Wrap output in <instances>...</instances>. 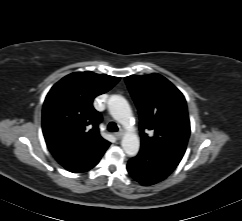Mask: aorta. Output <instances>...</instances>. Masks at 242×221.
I'll use <instances>...</instances> for the list:
<instances>
[{
    "label": "aorta",
    "instance_id": "obj_1",
    "mask_svg": "<svg viewBox=\"0 0 242 221\" xmlns=\"http://www.w3.org/2000/svg\"><path fill=\"white\" fill-rule=\"evenodd\" d=\"M108 108L112 117L127 130L121 141L123 150L130 157L136 156L140 141L131 127L132 111L128 101L120 95H112L108 100Z\"/></svg>",
    "mask_w": 242,
    "mask_h": 221
}]
</instances>
